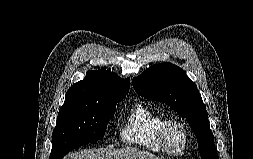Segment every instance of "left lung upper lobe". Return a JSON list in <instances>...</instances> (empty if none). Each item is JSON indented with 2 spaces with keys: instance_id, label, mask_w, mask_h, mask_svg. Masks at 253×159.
<instances>
[{
  "instance_id": "obj_1",
  "label": "left lung upper lobe",
  "mask_w": 253,
  "mask_h": 159,
  "mask_svg": "<svg viewBox=\"0 0 253 159\" xmlns=\"http://www.w3.org/2000/svg\"><path fill=\"white\" fill-rule=\"evenodd\" d=\"M132 83L140 96L166 103L186 118L196 135L201 159H218L206 106L183 69L171 63L154 64Z\"/></svg>"
}]
</instances>
